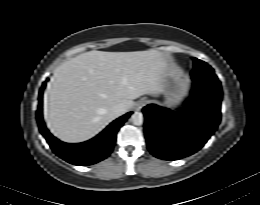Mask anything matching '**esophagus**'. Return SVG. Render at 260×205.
Instances as JSON below:
<instances>
[{"label": "esophagus", "mask_w": 260, "mask_h": 205, "mask_svg": "<svg viewBox=\"0 0 260 205\" xmlns=\"http://www.w3.org/2000/svg\"><path fill=\"white\" fill-rule=\"evenodd\" d=\"M147 104V101L146 100H144V99H142V100H140V101H138L137 103H136V105H135V108H136V110H140L141 108H143V106H145Z\"/></svg>", "instance_id": "esophagus-1"}]
</instances>
